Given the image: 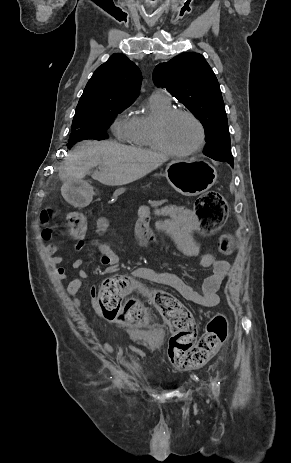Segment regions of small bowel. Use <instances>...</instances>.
<instances>
[{"mask_svg": "<svg viewBox=\"0 0 291 463\" xmlns=\"http://www.w3.org/2000/svg\"><path fill=\"white\" fill-rule=\"evenodd\" d=\"M170 217V216H167ZM152 218V217H151ZM151 218L146 219L141 217L136 233L140 239L139 243L142 246H146L151 243L147 237L156 236L157 232L150 230ZM156 227L166 232L177 244L179 250L187 256H200V263L204 269L210 270L211 274L208 275L200 289H196L194 286L182 280L177 275L170 272H157L148 268H137L132 271V276L137 279L145 280L151 283L164 285L177 291L182 297L190 302L198 304L203 307H215L220 303L218 295L219 290L222 288L226 280L228 279L230 272V265L228 262L218 260L216 257L209 253H200L199 246L194 239V230L189 226H159L156 221ZM109 230V221L101 217L96 221V227L94 230V236L91 239V244L94 246L96 251L101 256V263L109 267H118L122 261L120 257L101 240V236ZM84 248V236L83 234L78 236L77 242L74 244V250L80 251ZM59 249L58 245L51 244L46 247L47 253L50 255V263L54 266V275L59 279H68L70 272L62 264L65 262L63 256L54 255ZM72 270L76 272L77 277L72 278L67 284V292L73 300L75 307L80 311L81 315L84 316V312L81 307V300L78 297L79 291L84 286V280L88 279L90 274L84 268L83 261L81 259H74L71 264ZM96 293L93 288L92 290V301L95 304ZM105 350L112 353L113 349L105 345Z\"/></svg>", "mask_w": 291, "mask_h": 463, "instance_id": "1", "label": "small bowel"}]
</instances>
